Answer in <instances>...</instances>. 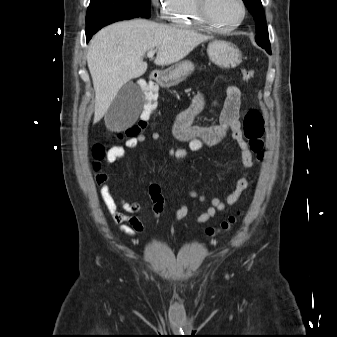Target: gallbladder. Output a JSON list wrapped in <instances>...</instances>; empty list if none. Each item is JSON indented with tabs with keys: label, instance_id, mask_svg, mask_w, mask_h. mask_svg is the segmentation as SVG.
<instances>
[{
	"label": "gallbladder",
	"instance_id": "gallbladder-1",
	"mask_svg": "<svg viewBox=\"0 0 337 337\" xmlns=\"http://www.w3.org/2000/svg\"><path fill=\"white\" fill-rule=\"evenodd\" d=\"M144 103L140 88L129 82L122 86L105 114L106 126L112 131L123 130L137 119Z\"/></svg>",
	"mask_w": 337,
	"mask_h": 337
}]
</instances>
